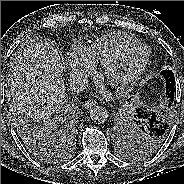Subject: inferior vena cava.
I'll return each instance as SVG.
<instances>
[{"instance_id": "602c4592", "label": "inferior vena cava", "mask_w": 184, "mask_h": 184, "mask_svg": "<svg viewBox=\"0 0 184 184\" xmlns=\"http://www.w3.org/2000/svg\"><path fill=\"white\" fill-rule=\"evenodd\" d=\"M68 81L74 92H82L88 86V79L81 75H72Z\"/></svg>"}]
</instances>
